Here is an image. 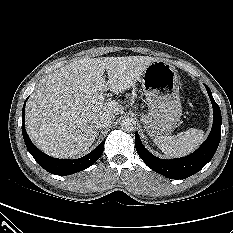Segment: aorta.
<instances>
[{"label": "aorta", "instance_id": "762f6f07", "mask_svg": "<svg viewBox=\"0 0 233 233\" xmlns=\"http://www.w3.org/2000/svg\"><path fill=\"white\" fill-rule=\"evenodd\" d=\"M120 127L124 131H134L136 129V121L133 118H125L121 121Z\"/></svg>", "mask_w": 233, "mask_h": 233}]
</instances>
